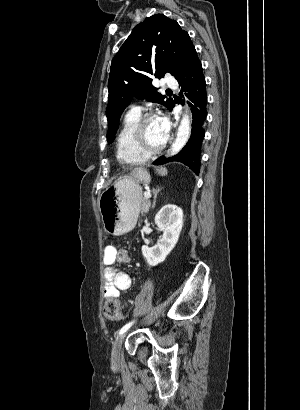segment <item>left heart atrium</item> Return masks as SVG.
I'll list each match as a JSON object with an SVG mask.
<instances>
[{"label":"left heart atrium","instance_id":"39dd6f15","mask_svg":"<svg viewBox=\"0 0 300 410\" xmlns=\"http://www.w3.org/2000/svg\"><path fill=\"white\" fill-rule=\"evenodd\" d=\"M155 119L157 121V124H158L161 132L167 138V136L169 134V130H170V124H169V121H168L167 117H165L162 114H159L157 117H155Z\"/></svg>","mask_w":300,"mask_h":410}]
</instances>
